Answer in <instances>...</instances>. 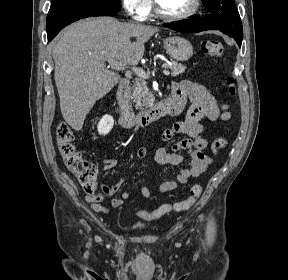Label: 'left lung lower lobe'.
Wrapping results in <instances>:
<instances>
[{
	"instance_id": "obj_1",
	"label": "left lung lower lobe",
	"mask_w": 288,
	"mask_h": 280,
	"mask_svg": "<svg viewBox=\"0 0 288 280\" xmlns=\"http://www.w3.org/2000/svg\"><path fill=\"white\" fill-rule=\"evenodd\" d=\"M165 26L180 32H190L197 33L203 30H219L215 25L210 23L205 17H200L199 15H195L191 19L184 21H177L166 23ZM237 44L241 46L242 40L233 37Z\"/></svg>"
}]
</instances>
